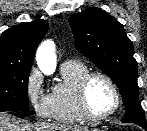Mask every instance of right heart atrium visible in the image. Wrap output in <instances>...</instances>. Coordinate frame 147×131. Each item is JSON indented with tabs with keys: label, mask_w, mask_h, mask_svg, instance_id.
I'll list each match as a JSON object with an SVG mask.
<instances>
[{
	"label": "right heart atrium",
	"mask_w": 147,
	"mask_h": 131,
	"mask_svg": "<svg viewBox=\"0 0 147 131\" xmlns=\"http://www.w3.org/2000/svg\"><path fill=\"white\" fill-rule=\"evenodd\" d=\"M25 90L27 100L39 119H49L52 115L51 97L45 91L42 75L32 69L26 79Z\"/></svg>",
	"instance_id": "d8ad5b80"
}]
</instances>
